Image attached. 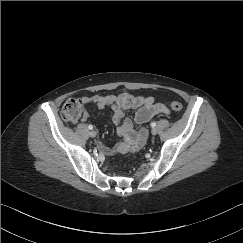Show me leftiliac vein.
Instances as JSON below:
<instances>
[{
    "label": "left iliac vein",
    "instance_id": "4c4485c4",
    "mask_svg": "<svg viewBox=\"0 0 243 243\" xmlns=\"http://www.w3.org/2000/svg\"><path fill=\"white\" fill-rule=\"evenodd\" d=\"M151 133H152L153 135H156V134H157V130H156L155 128H152Z\"/></svg>",
    "mask_w": 243,
    "mask_h": 243
}]
</instances>
